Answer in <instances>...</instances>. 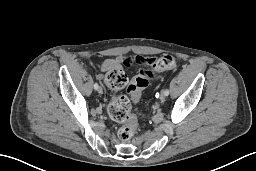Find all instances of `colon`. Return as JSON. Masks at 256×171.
Returning a JSON list of instances; mask_svg holds the SVG:
<instances>
[{
    "label": "colon",
    "instance_id": "5ec220e1",
    "mask_svg": "<svg viewBox=\"0 0 256 171\" xmlns=\"http://www.w3.org/2000/svg\"><path fill=\"white\" fill-rule=\"evenodd\" d=\"M175 58L172 55H163L153 58L151 67L155 72H164L173 69ZM105 83L112 90H120L127 84V75L122 69H113L105 76ZM148 85V80L142 76H136L127 86V92L134 102L141 98L142 91ZM110 118L123 124L118 131V137L122 141L131 140L137 132V118L132 113L131 100L126 95H114L107 108Z\"/></svg>",
    "mask_w": 256,
    "mask_h": 171
}]
</instances>
